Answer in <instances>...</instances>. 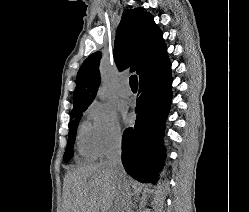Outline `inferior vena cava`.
Instances as JSON below:
<instances>
[{
    "mask_svg": "<svg viewBox=\"0 0 249 212\" xmlns=\"http://www.w3.org/2000/svg\"><path fill=\"white\" fill-rule=\"evenodd\" d=\"M121 154L122 142L119 138L110 144L109 150L106 152V162L108 166H113L116 174L117 194H115L113 212H133L130 200V184L122 166Z\"/></svg>",
    "mask_w": 249,
    "mask_h": 212,
    "instance_id": "obj_1",
    "label": "inferior vena cava"
}]
</instances>
